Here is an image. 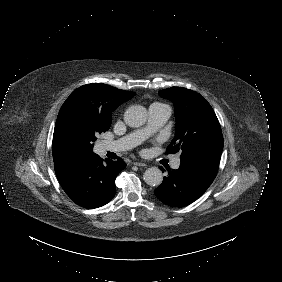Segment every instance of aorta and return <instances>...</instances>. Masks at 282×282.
Masks as SVG:
<instances>
[{"label":"aorta","instance_id":"obj_1","mask_svg":"<svg viewBox=\"0 0 282 282\" xmlns=\"http://www.w3.org/2000/svg\"><path fill=\"white\" fill-rule=\"evenodd\" d=\"M124 120L131 127L144 125L148 120L147 108L142 105L130 106L124 113ZM143 176L150 186H159L163 182L162 171L157 167L148 168Z\"/></svg>","mask_w":282,"mask_h":282}]
</instances>
